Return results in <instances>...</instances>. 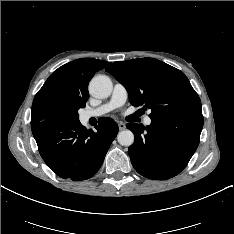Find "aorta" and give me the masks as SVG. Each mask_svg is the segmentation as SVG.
Here are the masks:
<instances>
[{
    "label": "aorta",
    "instance_id": "1",
    "mask_svg": "<svg viewBox=\"0 0 234 234\" xmlns=\"http://www.w3.org/2000/svg\"><path fill=\"white\" fill-rule=\"evenodd\" d=\"M113 86L109 77L98 75L89 84L90 93L96 98H107L112 92ZM118 143L122 146H131L134 142V134L126 129L117 135Z\"/></svg>",
    "mask_w": 234,
    "mask_h": 234
}]
</instances>
